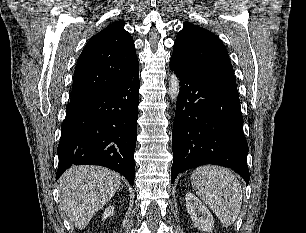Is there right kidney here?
I'll return each instance as SVG.
<instances>
[{"mask_svg": "<svg viewBox=\"0 0 306 233\" xmlns=\"http://www.w3.org/2000/svg\"><path fill=\"white\" fill-rule=\"evenodd\" d=\"M114 214V206H109L107 209H105L104 214H103V220L106 218L112 216Z\"/></svg>", "mask_w": 306, "mask_h": 233, "instance_id": "1", "label": "right kidney"}]
</instances>
